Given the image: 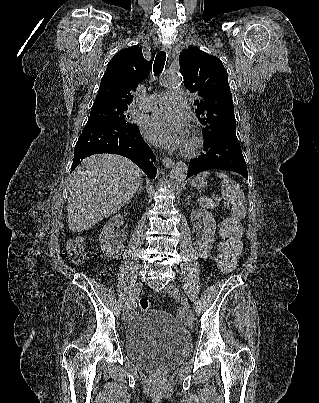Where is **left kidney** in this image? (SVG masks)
<instances>
[{
    "instance_id": "obj_1",
    "label": "left kidney",
    "mask_w": 319,
    "mask_h": 403,
    "mask_svg": "<svg viewBox=\"0 0 319 403\" xmlns=\"http://www.w3.org/2000/svg\"><path fill=\"white\" fill-rule=\"evenodd\" d=\"M191 221L196 228H200V224L204 227L198 230V239L195 241V249L198 256L205 258L211 251L214 235L216 232V223L211 212L197 208L191 213Z\"/></svg>"
}]
</instances>
